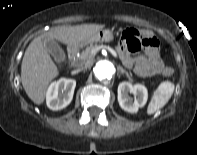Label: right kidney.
<instances>
[{
    "instance_id": "ca27d5eb",
    "label": "right kidney",
    "mask_w": 197,
    "mask_h": 155,
    "mask_svg": "<svg viewBox=\"0 0 197 155\" xmlns=\"http://www.w3.org/2000/svg\"><path fill=\"white\" fill-rule=\"evenodd\" d=\"M76 81L74 79L61 78L54 81L48 87L46 104L51 110H61L72 101Z\"/></svg>"
}]
</instances>
